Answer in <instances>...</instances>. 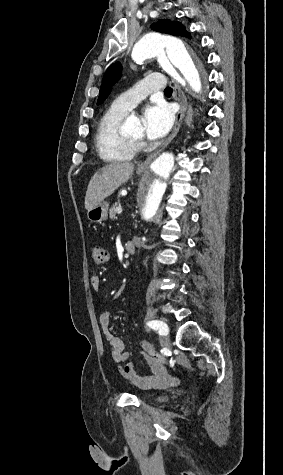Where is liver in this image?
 <instances>
[{
    "label": "liver",
    "mask_w": 283,
    "mask_h": 475,
    "mask_svg": "<svg viewBox=\"0 0 283 475\" xmlns=\"http://www.w3.org/2000/svg\"><path fill=\"white\" fill-rule=\"evenodd\" d=\"M134 172V164H108L96 172L89 182L85 196L86 210H92L101 204L105 198L111 196L121 184H125Z\"/></svg>",
    "instance_id": "obj_1"
}]
</instances>
